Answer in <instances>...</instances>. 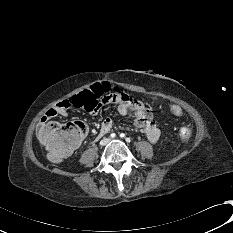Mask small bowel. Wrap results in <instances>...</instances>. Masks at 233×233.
Instances as JSON below:
<instances>
[{
	"label": "small bowel",
	"mask_w": 233,
	"mask_h": 233,
	"mask_svg": "<svg viewBox=\"0 0 233 233\" xmlns=\"http://www.w3.org/2000/svg\"><path fill=\"white\" fill-rule=\"evenodd\" d=\"M107 93L106 96H103L100 101H96L91 107V112L93 114H99L103 108H107L111 103H116L118 105V112L123 116L131 115L134 125L150 142L155 143L159 140L161 132L153 120L151 107L148 104L138 102L134 96H129L126 92H122L121 90H114L112 92L109 89ZM69 108H71L69 106V100L65 99L47 110L41 118L40 130L46 126V123L50 119L59 115L66 116ZM113 125L112 119L105 118L100 125L101 131L94 140L97 142L104 133L112 129Z\"/></svg>",
	"instance_id": "1"
}]
</instances>
